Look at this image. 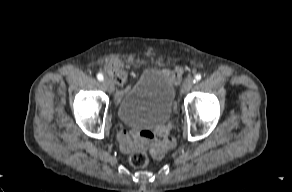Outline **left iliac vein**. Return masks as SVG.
I'll use <instances>...</instances> for the list:
<instances>
[{"label": "left iliac vein", "mask_w": 292, "mask_h": 192, "mask_svg": "<svg viewBox=\"0 0 292 192\" xmlns=\"http://www.w3.org/2000/svg\"><path fill=\"white\" fill-rule=\"evenodd\" d=\"M194 80L191 77H188L185 79V81L182 84L181 91L183 94L189 92L193 86Z\"/></svg>", "instance_id": "obj_1"}]
</instances>
